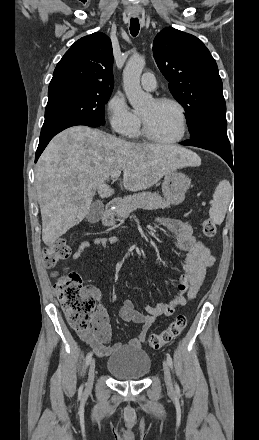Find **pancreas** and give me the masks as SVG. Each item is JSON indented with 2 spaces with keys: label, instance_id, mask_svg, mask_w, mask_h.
Listing matches in <instances>:
<instances>
[{
  "label": "pancreas",
  "instance_id": "obj_1",
  "mask_svg": "<svg viewBox=\"0 0 259 440\" xmlns=\"http://www.w3.org/2000/svg\"><path fill=\"white\" fill-rule=\"evenodd\" d=\"M167 207H170V203L163 199L158 193L142 192L128 195L119 201L116 210L107 213L103 224L108 227L114 226L115 216L118 218H127L138 208L144 210H156Z\"/></svg>",
  "mask_w": 259,
  "mask_h": 440
}]
</instances>
